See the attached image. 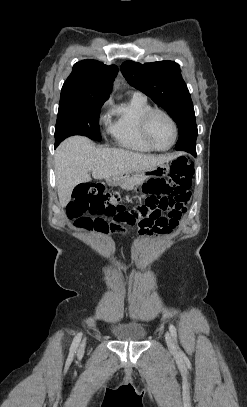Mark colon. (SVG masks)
I'll list each match as a JSON object with an SVG mask.
<instances>
[{
    "mask_svg": "<svg viewBox=\"0 0 247 407\" xmlns=\"http://www.w3.org/2000/svg\"><path fill=\"white\" fill-rule=\"evenodd\" d=\"M194 171L190 159L180 157L172 163L167 177L148 181L142 186V191L147 196L168 199L176 204L187 203ZM120 198V193L108 191L101 184L80 185L75 188L72 200L67 206L68 218L75 220L78 227L108 232L112 230V226L103 219H91L83 215H119L126 211Z\"/></svg>",
    "mask_w": 247,
    "mask_h": 407,
    "instance_id": "obj_1",
    "label": "colon"
}]
</instances>
